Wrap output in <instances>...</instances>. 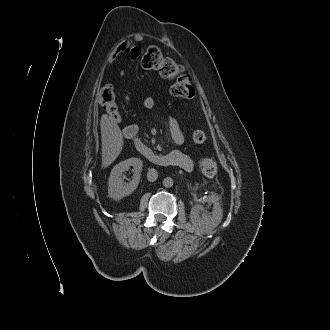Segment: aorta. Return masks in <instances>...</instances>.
Wrapping results in <instances>:
<instances>
[{
    "instance_id": "aorta-1",
    "label": "aorta",
    "mask_w": 330,
    "mask_h": 330,
    "mask_svg": "<svg viewBox=\"0 0 330 330\" xmlns=\"http://www.w3.org/2000/svg\"><path fill=\"white\" fill-rule=\"evenodd\" d=\"M174 184V181L171 177H166L164 178L163 180V186L166 187V188H170L172 187Z\"/></svg>"
}]
</instances>
